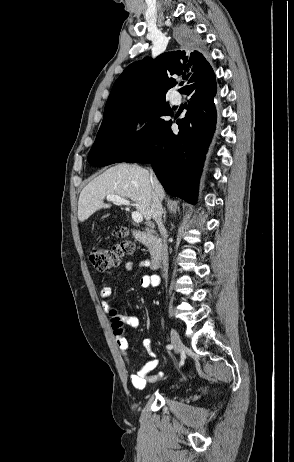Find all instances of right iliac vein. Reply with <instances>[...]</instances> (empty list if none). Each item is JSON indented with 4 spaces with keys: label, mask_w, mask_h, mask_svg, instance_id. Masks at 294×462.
Segmentation results:
<instances>
[{
    "label": "right iliac vein",
    "mask_w": 294,
    "mask_h": 462,
    "mask_svg": "<svg viewBox=\"0 0 294 462\" xmlns=\"http://www.w3.org/2000/svg\"><path fill=\"white\" fill-rule=\"evenodd\" d=\"M171 342L174 347L175 353L179 354L183 348V344L178 332L175 329L171 330Z\"/></svg>",
    "instance_id": "1"
}]
</instances>
